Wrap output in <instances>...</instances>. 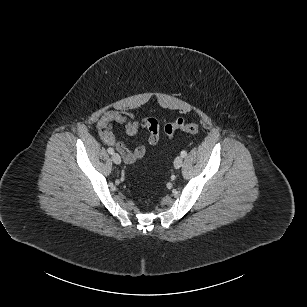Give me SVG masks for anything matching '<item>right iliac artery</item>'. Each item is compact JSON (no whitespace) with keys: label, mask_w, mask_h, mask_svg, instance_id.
Returning <instances> with one entry per match:
<instances>
[{"label":"right iliac artery","mask_w":307,"mask_h":307,"mask_svg":"<svg viewBox=\"0 0 307 307\" xmlns=\"http://www.w3.org/2000/svg\"><path fill=\"white\" fill-rule=\"evenodd\" d=\"M107 151H108L109 154H113V153H114V149L111 148V147H109V148L107 149Z\"/></svg>","instance_id":"right-iliac-artery-1"}]
</instances>
